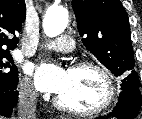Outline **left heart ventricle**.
I'll list each match as a JSON object with an SVG mask.
<instances>
[{"mask_svg":"<svg viewBox=\"0 0 142 119\" xmlns=\"http://www.w3.org/2000/svg\"><path fill=\"white\" fill-rule=\"evenodd\" d=\"M68 72L67 85L59 94L62 102L81 110L98 106L105 93L102 77L92 69L68 70Z\"/></svg>","mask_w":142,"mask_h":119,"instance_id":"1","label":"left heart ventricle"}]
</instances>
